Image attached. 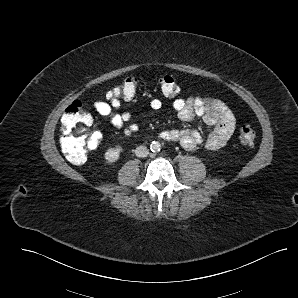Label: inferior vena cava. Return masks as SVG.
I'll list each match as a JSON object with an SVG mask.
<instances>
[{"label": "inferior vena cava", "instance_id": "inferior-vena-cava-1", "mask_svg": "<svg viewBox=\"0 0 298 298\" xmlns=\"http://www.w3.org/2000/svg\"><path fill=\"white\" fill-rule=\"evenodd\" d=\"M135 154L137 157L144 158L149 155V149L145 146H138L135 149Z\"/></svg>", "mask_w": 298, "mask_h": 298}]
</instances>
